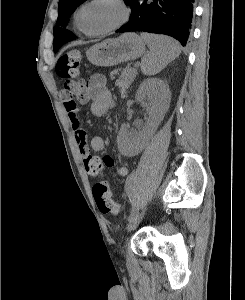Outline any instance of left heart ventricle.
<instances>
[{"instance_id": "obj_1", "label": "left heart ventricle", "mask_w": 245, "mask_h": 300, "mask_svg": "<svg viewBox=\"0 0 245 300\" xmlns=\"http://www.w3.org/2000/svg\"><path fill=\"white\" fill-rule=\"evenodd\" d=\"M121 17L120 8L109 1L88 6L82 14V24L88 31H99L114 25Z\"/></svg>"}]
</instances>
